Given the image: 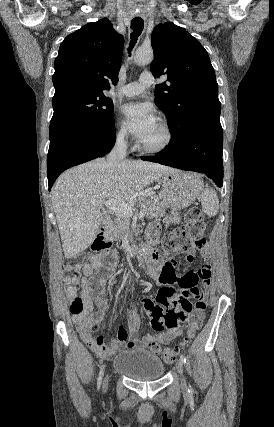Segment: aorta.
Returning a JSON list of instances; mask_svg holds the SVG:
<instances>
[{
  "instance_id": "aorta-1",
  "label": "aorta",
  "mask_w": 274,
  "mask_h": 427,
  "mask_svg": "<svg viewBox=\"0 0 274 427\" xmlns=\"http://www.w3.org/2000/svg\"><path fill=\"white\" fill-rule=\"evenodd\" d=\"M153 50L152 48H139L135 52L134 61L137 65H146L152 62L153 60ZM143 249L140 252V258L143 256Z\"/></svg>"
}]
</instances>
